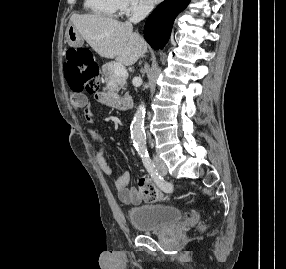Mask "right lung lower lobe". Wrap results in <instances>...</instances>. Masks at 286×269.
<instances>
[{
    "instance_id": "1",
    "label": "right lung lower lobe",
    "mask_w": 286,
    "mask_h": 269,
    "mask_svg": "<svg viewBox=\"0 0 286 269\" xmlns=\"http://www.w3.org/2000/svg\"><path fill=\"white\" fill-rule=\"evenodd\" d=\"M190 0H165L152 12L144 28V37L154 49L167 43L175 17L184 10Z\"/></svg>"
}]
</instances>
